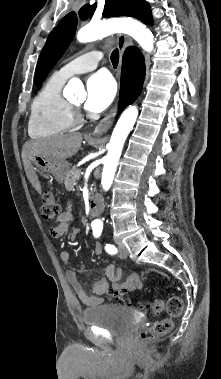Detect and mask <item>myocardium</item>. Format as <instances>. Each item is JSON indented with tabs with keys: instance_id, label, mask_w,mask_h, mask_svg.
I'll list each match as a JSON object with an SVG mask.
<instances>
[{
	"instance_id": "myocardium-1",
	"label": "myocardium",
	"mask_w": 221,
	"mask_h": 379,
	"mask_svg": "<svg viewBox=\"0 0 221 379\" xmlns=\"http://www.w3.org/2000/svg\"><path fill=\"white\" fill-rule=\"evenodd\" d=\"M71 107H72V110H73V114H74L75 120H79L80 119V115L78 113V105L77 104H71Z\"/></svg>"
}]
</instances>
